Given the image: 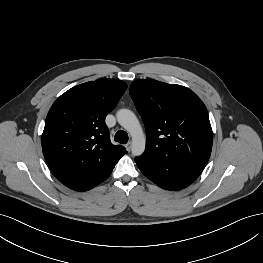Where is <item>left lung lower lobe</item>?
Wrapping results in <instances>:
<instances>
[{"label":"left lung lower lobe","mask_w":263,"mask_h":263,"mask_svg":"<svg viewBox=\"0 0 263 263\" xmlns=\"http://www.w3.org/2000/svg\"><path fill=\"white\" fill-rule=\"evenodd\" d=\"M135 162L148 179L163 189L173 191L188 187L202 171L171 157L142 155L136 158Z\"/></svg>","instance_id":"1"}]
</instances>
